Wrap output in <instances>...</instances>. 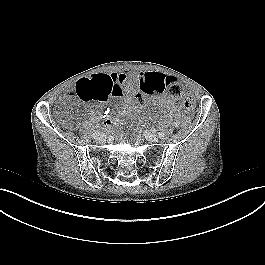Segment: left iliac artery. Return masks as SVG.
<instances>
[{
	"instance_id": "1",
	"label": "left iliac artery",
	"mask_w": 265,
	"mask_h": 265,
	"mask_svg": "<svg viewBox=\"0 0 265 265\" xmlns=\"http://www.w3.org/2000/svg\"><path fill=\"white\" fill-rule=\"evenodd\" d=\"M154 131V130H153ZM159 137L162 138L164 137V134L163 133H159Z\"/></svg>"
}]
</instances>
